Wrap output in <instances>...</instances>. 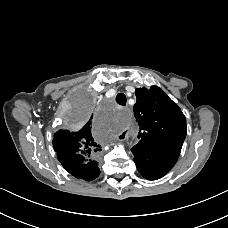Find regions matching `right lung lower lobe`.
Segmentation results:
<instances>
[{"mask_svg":"<svg viewBox=\"0 0 228 228\" xmlns=\"http://www.w3.org/2000/svg\"><path fill=\"white\" fill-rule=\"evenodd\" d=\"M63 167L70 173L72 174L73 176H75L76 178H80V173H78L76 171V169L71 165V164H68V163H63L62 164ZM100 174V170L98 168V166H96V172H95V177L94 179ZM83 179V178H82ZM93 180V179H92Z\"/></svg>","mask_w":228,"mask_h":228,"instance_id":"obj_1","label":"right lung lower lobe"}]
</instances>
